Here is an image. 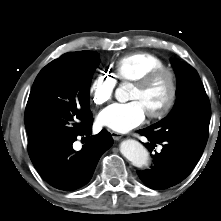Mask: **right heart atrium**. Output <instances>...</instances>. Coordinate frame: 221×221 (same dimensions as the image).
Instances as JSON below:
<instances>
[{
    "label": "right heart atrium",
    "mask_w": 221,
    "mask_h": 221,
    "mask_svg": "<svg viewBox=\"0 0 221 221\" xmlns=\"http://www.w3.org/2000/svg\"><path fill=\"white\" fill-rule=\"evenodd\" d=\"M115 87V79L108 73L100 72L89 86L91 101L95 105L108 103L114 95Z\"/></svg>",
    "instance_id": "obj_1"
}]
</instances>
